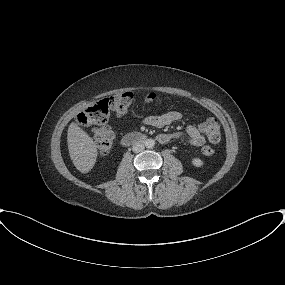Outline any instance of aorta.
<instances>
[{
	"label": "aorta",
	"instance_id": "762f6f07",
	"mask_svg": "<svg viewBox=\"0 0 285 285\" xmlns=\"http://www.w3.org/2000/svg\"><path fill=\"white\" fill-rule=\"evenodd\" d=\"M144 145H145L146 148H153L154 145H155V141L153 139H147L144 142Z\"/></svg>",
	"mask_w": 285,
	"mask_h": 285
}]
</instances>
